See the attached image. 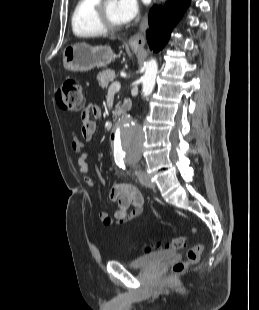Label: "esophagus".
<instances>
[{"label": "esophagus", "instance_id": "obj_1", "mask_svg": "<svg viewBox=\"0 0 259 310\" xmlns=\"http://www.w3.org/2000/svg\"><path fill=\"white\" fill-rule=\"evenodd\" d=\"M148 26V19H147V14L144 16L139 30L130 37L128 44L130 45L131 48L134 49H141L145 45V31Z\"/></svg>", "mask_w": 259, "mask_h": 310}]
</instances>
